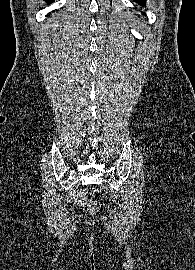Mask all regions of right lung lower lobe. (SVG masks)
<instances>
[{
  "mask_svg": "<svg viewBox=\"0 0 195 270\" xmlns=\"http://www.w3.org/2000/svg\"><path fill=\"white\" fill-rule=\"evenodd\" d=\"M48 3H51V2H53L54 0H46Z\"/></svg>",
  "mask_w": 195,
  "mask_h": 270,
  "instance_id": "1",
  "label": "right lung lower lobe"
}]
</instances>
